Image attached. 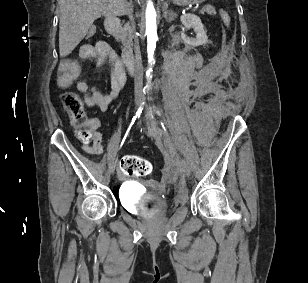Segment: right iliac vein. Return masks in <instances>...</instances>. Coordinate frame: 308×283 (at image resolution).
<instances>
[{
	"label": "right iliac vein",
	"instance_id": "obj_1",
	"mask_svg": "<svg viewBox=\"0 0 308 283\" xmlns=\"http://www.w3.org/2000/svg\"><path fill=\"white\" fill-rule=\"evenodd\" d=\"M141 102H142V99L141 98H137L136 101H135V109L137 110L139 108V106L141 105ZM117 163H118V159L115 158L114 161H113V166H112V169L113 171L115 170L116 166H117Z\"/></svg>",
	"mask_w": 308,
	"mask_h": 283
}]
</instances>
